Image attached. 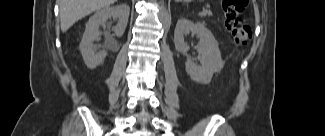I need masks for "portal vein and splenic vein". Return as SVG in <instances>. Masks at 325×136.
Listing matches in <instances>:
<instances>
[{"instance_id":"18ae733b","label":"portal vein and splenic vein","mask_w":325,"mask_h":136,"mask_svg":"<svg viewBox=\"0 0 325 136\" xmlns=\"http://www.w3.org/2000/svg\"><path fill=\"white\" fill-rule=\"evenodd\" d=\"M207 9H204L202 12L199 13L200 16H204L207 14Z\"/></svg>"}]
</instances>
